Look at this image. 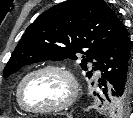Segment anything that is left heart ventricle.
I'll return each mask as SVG.
<instances>
[{
  "instance_id": "left-heart-ventricle-1",
  "label": "left heart ventricle",
  "mask_w": 133,
  "mask_h": 118,
  "mask_svg": "<svg viewBox=\"0 0 133 118\" xmlns=\"http://www.w3.org/2000/svg\"><path fill=\"white\" fill-rule=\"evenodd\" d=\"M69 94L66 78L57 72L46 71L31 76L23 87V100L31 108L61 103Z\"/></svg>"
}]
</instances>
